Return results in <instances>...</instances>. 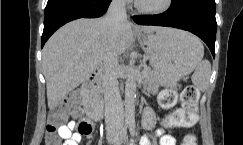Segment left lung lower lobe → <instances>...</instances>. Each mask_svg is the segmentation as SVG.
Returning <instances> with one entry per match:
<instances>
[{
  "label": "left lung lower lobe",
  "instance_id": "0a47b994",
  "mask_svg": "<svg viewBox=\"0 0 243 145\" xmlns=\"http://www.w3.org/2000/svg\"><path fill=\"white\" fill-rule=\"evenodd\" d=\"M133 20L137 24L142 25L166 26L190 31L208 45L213 57H215V37L217 30L215 14H192L179 9L177 6H170L162 14L133 16Z\"/></svg>",
  "mask_w": 243,
  "mask_h": 145
}]
</instances>
